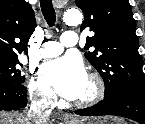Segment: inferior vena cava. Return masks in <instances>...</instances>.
<instances>
[{
	"instance_id": "inferior-vena-cava-1",
	"label": "inferior vena cava",
	"mask_w": 145,
	"mask_h": 124,
	"mask_svg": "<svg viewBox=\"0 0 145 124\" xmlns=\"http://www.w3.org/2000/svg\"><path fill=\"white\" fill-rule=\"evenodd\" d=\"M35 107L28 112L26 124H46L49 114L45 110L47 107L43 101H35Z\"/></svg>"
}]
</instances>
